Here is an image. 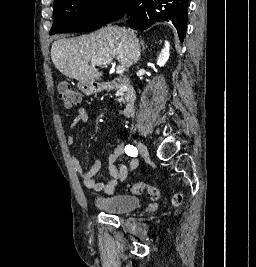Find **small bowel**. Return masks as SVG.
Segmentation results:
<instances>
[{
    "mask_svg": "<svg viewBox=\"0 0 256 267\" xmlns=\"http://www.w3.org/2000/svg\"><path fill=\"white\" fill-rule=\"evenodd\" d=\"M88 119L89 115L87 110L84 108L79 109L71 121V129H76L78 126L85 124ZM67 143L70 146L74 145V136H69L67 138ZM123 154L124 147L120 144L116 145L112 149V152L109 155V174L111 179L107 182H99L96 180V176L100 170V162L97 160L92 161L88 168H84L80 161L73 156L72 165L87 189L93 192L103 191L108 195H112L117 189L118 182L126 181L129 173L136 170L139 166V160L136 157H131L128 165L123 163L117 165V161L123 156Z\"/></svg>",
    "mask_w": 256,
    "mask_h": 267,
    "instance_id": "small-bowel-1",
    "label": "small bowel"
}]
</instances>
